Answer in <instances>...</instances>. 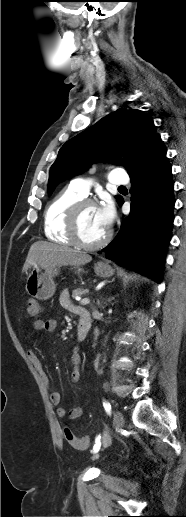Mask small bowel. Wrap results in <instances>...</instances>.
Masks as SVG:
<instances>
[{"instance_id": "small-bowel-1", "label": "small bowel", "mask_w": 186, "mask_h": 517, "mask_svg": "<svg viewBox=\"0 0 186 517\" xmlns=\"http://www.w3.org/2000/svg\"><path fill=\"white\" fill-rule=\"evenodd\" d=\"M60 302L63 307L70 310L74 313H79L80 308L75 306L70 298L67 291H63L60 295ZM57 327V322L54 319H47V320H37L34 322V328L37 331H46V332H53ZM28 358L30 361L34 364V366L37 368L43 383L45 386L49 389L52 388V381L46 371L43 368V365L40 361V358L36 351L33 349L28 350ZM71 362L73 365V369L71 372V380L76 383L80 380L81 373H80V363H81V357L77 349H74L72 356H71ZM51 401L54 405L59 406L57 409V414L61 418L69 417L71 419H76L80 417L83 413V407H73V408H67L64 406H61L63 402V396L59 391H51L50 394Z\"/></svg>"}]
</instances>
